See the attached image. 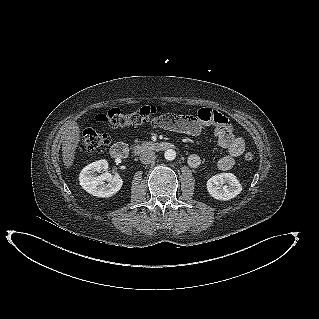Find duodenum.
<instances>
[{
	"label": "duodenum",
	"instance_id": "duodenum-1",
	"mask_svg": "<svg viewBox=\"0 0 319 319\" xmlns=\"http://www.w3.org/2000/svg\"><path fill=\"white\" fill-rule=\"evenodd\" d=\"M172 148V144L164 141H147L135 146L136 153L158 152ZM129 153V148L125 143L119 142L110 148V155L116 160L124 159Z\"/></svg>",
	"mask_w": 319,
	"mask_h": 319
}]
</instances>
